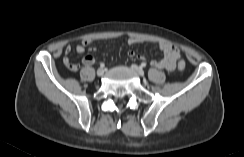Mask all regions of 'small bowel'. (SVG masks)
Segmentation results:
<instances>
[{
    "mask_svg": "<svg viewBox=\"0 0 244 157\" xmlns=\"http://www.w3.org/2000/svg\"><path fill=\"white\" fill-rule=\"evenodd\" d=\"M127 42L129 45H135V44L141 43L142 41L138 38L130 37L127 40ZM158 47L160 50L163 51V58L160 59L159 61L151 59V60H149V64L158 69H163V70H168V71L175 69L176 63L180 58L179 49L176 46H174L173 44L166 43V42L159 43ZM85 48H88L90 51H94L96 49L94 41L90 40V39L82 40L77 45L76 51L78 53H82V52H84ZM71 50H72V47L70 45H68L65 48L66 56L63 58V63L71 71H76V70H78V65L71 63L70 59L67 56L71 52ZM128 55L131 58L144 59V57L136 55L135 52H133V51H129ZM82 63L85 66H91L95 63V58L92 55L87 54L83 57Z\"/></svg>",
    "mask_w": 244,
    "mask_h": 157,
    "instance_id": "c3829d8e",
    "label": "small bowel"
}]
</instances>
